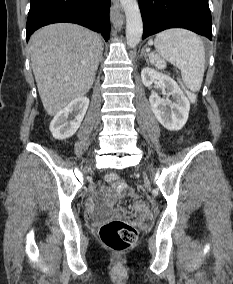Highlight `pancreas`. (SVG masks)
<instances>
[{"instance_id":"1","label":"pancreas","mask_w":233,"mask_h":284,"mask_svg":"<svg viewBox=\"0 0 233 284\" xmlns=\"http://www.w3.org/2000/svg\"><path fill=\"white\" fill-rule=\"evenodd\" d=\"M154 64L158 68H164L165 67V62L163 60H161L159 57L156 58V61H154Z\"/></svg>"}]
</instances>
